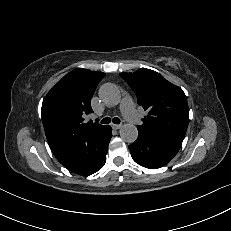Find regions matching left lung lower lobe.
<instances>
[{"label":"left lung lower lobe","instance_id":"left-lung-lower-lobe-1","mask_svg":"<svg viewBox=\"0 0 231 231\" xmlns=\"http://www.w3.org/2000/svg\"><path fill=\"white\" fill-rule=\"evenodd\" d=\"M181 144L139 131L136 141L129 145L133 160L149 169L166 165L179 151Z\"/></svg>","mask_w":231,"mask_h":231}]
</instances>
